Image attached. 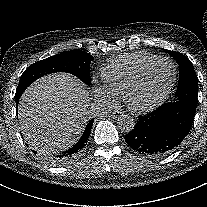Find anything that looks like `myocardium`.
I'll use <instances>...</instances> for the list:
<instances>
[{"label": "myocardium", "instance_id": "myocardium-1", "mask_svg": "<svg viewBox=\"0 0 207 207\" xmlns=\"http://www.w3.org/2000/svg\"><path fill=\"white\" fill-rule=\"evenodd\" d=\"M160 62H169L172 64L173 68H174V73H173V77H172V81H171V84L165 94V98L169 97L174 88H175V85H176V82H177V78H178V69H177V65L175 63L174 60H172L171 58H168V57H159L151 62H149L138 74V76L130 83V85L127 87L125 93H124V96H123V99H124V102L126 104V106L129 108V110H131L132 112H135V113H140L142 112L143 108H140L136 105H134L132 102H131V96L135 93V91L137 89H139L144 81H145V78H146V75L147 73L149 72V70L151 68H153L156 64L160 63Z\"/></svg>", "mask_w": 207, "mask_h": 207}]
</instances>
